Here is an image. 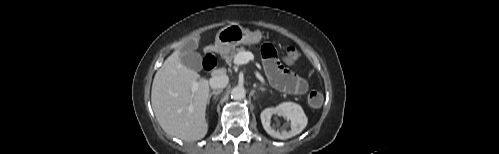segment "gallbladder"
Listing matches in <instances>:
<instances>
[{
  "mask_svg": "<svg viewBox=\"0 0 499 154\" xmlns=\"http://www.w3.org/2000/svg\"><path fill=\"white\" fill-rule=\"evenodd\" d=\"M197 47L198 40L189 39L185 42L180 56L182 64L195 71H199L202 66V57L195 51Z\"/></svg>",
  "mask_w": 499,
  "mask_h": 154,
  "instance_id": "gallbladder-1",
  "label": "gallbladder"
}]
</instances>
